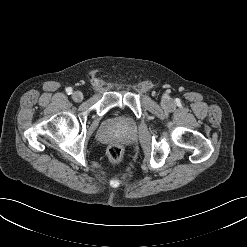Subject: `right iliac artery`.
Segmentation results:
<instances>
[{
  "label": "right iliac artery",
  "mask_w": 247,
  "mask_h": 247,
  "mask_svg": "<svg viewBox=\"0 0 247 247\" xmlns=\"http://www.w3.org/2000/svg\"><path fill=\"white\" fill-rule=\"evenodd\" d=\"M72 91H73V90H72V88H70V87H68V88L66 89V92H67V94H69V95L72 94Z\"/></svg>",
  "instance_id": "82829eb1"
}]
</instances>
